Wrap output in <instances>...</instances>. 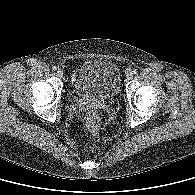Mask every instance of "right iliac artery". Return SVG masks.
<instances>
[{
  "label": "right iliac artery",
  "mask_w": 195,
  "mask_h": 195,
  "mask_svg": "<svg viewBox=\"0 0 195 195\" xmlns=\"http://www.w3.org/2000/svg\"><path fill=\"white\" fill-rule=\"evenodd\" d=\"M52 68H53V70H57V67L56 66H53Z\"/></svg>",
  "instance_id": "obj_1"
}]
</instances>
